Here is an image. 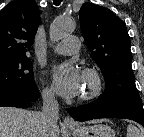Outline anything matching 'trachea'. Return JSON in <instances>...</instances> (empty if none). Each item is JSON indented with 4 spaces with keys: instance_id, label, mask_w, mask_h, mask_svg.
Returning a JSON list of instances; mask_svg holds the SVG:
<instances>
[{
    "instance_id": "1",
    "label": "trachea",
    "mask_w": 144,
    "mask_h": 137,
    "mask_svg": "<svg viewBox=\"0 0 144 137\" xmlns=\"http://www.w3.org/2000/svg\"><path fill=\"white\" fill-rule=\"evenodd\" d=\"M62 0H54V4L55 5H59L61 3Z\"/></svg>"
}]
</instances>
